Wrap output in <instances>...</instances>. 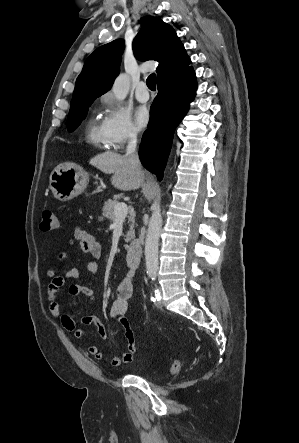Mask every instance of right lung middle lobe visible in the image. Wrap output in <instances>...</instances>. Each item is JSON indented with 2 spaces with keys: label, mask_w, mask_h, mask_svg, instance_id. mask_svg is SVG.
Segmentation results:
<instances>
[{
  "label": "right lung middle lobe",
  "mask_w": 299,
  "mask_h": 443,
  "mask_svg": "<svg viewBox=\"0 0 299 443\" xmlns=\"http://www.w3.org/2000/svg\"><path fill=\"white\" fill-rule=\"evenodd\" d=\"M92 103L93 101H89L70 108L67 119V128L70 132L74 131L80 122L85 118L87 109Z\"/></svg>",
  "instance_id": "1"
}]
</instances>
